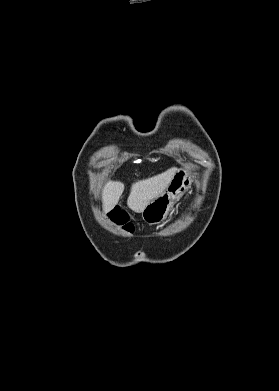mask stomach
<instances>
[{"instance_id": "1", "label": "stomach", "mask_w": 279, "mask_h": 391, "mask_svg": "<svg viewBox=\"0 0 279 391\" xmlns=\"http://www.w3.org/2000/svg\"><path fill=\"white\" fill-rule=\"evenodd\" d=\"M192 182V176L187 169H178L165 191L153 199L142 211L143 220L150 225L164 221L174 204L191 187Z\"/></svg>"}]
</instances>
